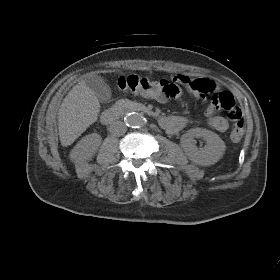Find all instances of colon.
Returning <instances> with one entry per match:
<instances>
[{"label": "colon", "instance_id": "colon-1", "mask_svg": "<svg viewBox=\"0 0 280 280\" xmlns=\"http://www.w3.org/2000/svg\"><path fill=\"white\" fill-rule=\"evenodd\" d=\"M117 87L121 91L141 94L159 100L174 99L181 94L180 85L174 78L151 80L137 75L121 76L117 81ZM199 90L203 93H213L211 97L213 108L226 111L227 118L235 122L230 137L235 142L240 141L244 135V125L240 121L242 113L236 105L233 95L227 91L215 92V87L211 83Z\"/></svg>", "mask_w": 280, "mask_h": 280}]
</instances>
